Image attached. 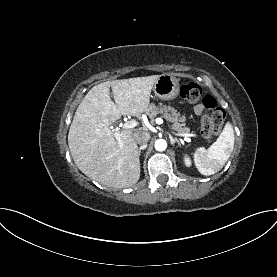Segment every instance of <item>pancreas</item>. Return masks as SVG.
Segmentation results:
<instances>
[{
  "label": "pancreas",
  "mask_w": 277,
  "mask_h": 277,
  "mask_svg": "<svg viewBox=\"0 0 277 277\" xmlns=\"http://www.w3.org/2000/svg\"><path fill=\"white\" fill-rule=\"evenodd\" d=\"M146 114L152 121L158 114H160L167 121L171 122V128L180 134H188L190 131V129L185 126V117H180V114L177 113L176 110L171 106H156L152 104L147 109Z\"/></svg>",
  "instance_id": "obj_1"
}]
</instances>
